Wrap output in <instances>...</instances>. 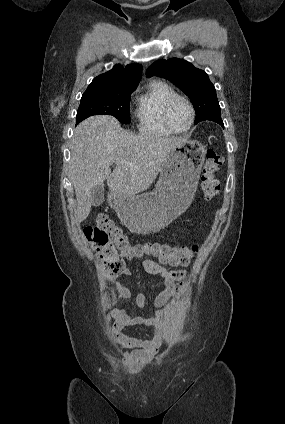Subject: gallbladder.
I'll list each match as a JSON object with an SVG mask.
<instances>
[{
	"mask_svg": "<svg viewBox=\"0 0 285 424\" xmlns=\"http://www.w3.org/2000/svg\"><path fill=\"white\" fill-rule=\"evenodd\" d=\"M92 205L100 206L104 201V185L98 184L91 190Z\"/></svg>",
	"mask_w": 285,
	"mask_h": 424,
	"instance_id": "obj_1",
	"label": "gallbladder"
}]
</instances>
